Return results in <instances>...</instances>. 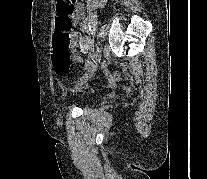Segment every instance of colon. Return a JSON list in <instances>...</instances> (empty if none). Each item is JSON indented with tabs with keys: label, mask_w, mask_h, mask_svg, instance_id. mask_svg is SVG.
I'll list each match as a JSON object with an SVG mask.
<instances>
[{
	"label": "colon",
	"mask_w": 207,
	"mask_h": 179,
	"mask_svg": "<svg viewBox=\"0 0 207 179\" xmlns=\"http://www.w3.org/2000/svg\"><path fill=\"white\" fill-rule=\"evenodd\" d=\"M75 3L76 0H59L57 3L52 62L55 73L60 77L67 75L71 67L70 44L72 37L70 31L73 26L71 17L74 13ZM106 77L110 84L122 79L118 72L107 73Z\"/></svg>",
	"instance_id": "colon-1"
}]
</instances>
